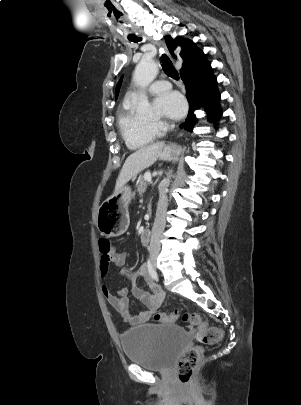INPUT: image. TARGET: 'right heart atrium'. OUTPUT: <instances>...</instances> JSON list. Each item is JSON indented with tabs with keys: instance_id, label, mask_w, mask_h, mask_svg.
<instances>
[{
	"instance_id": "1",
	"label": "right heart atrium",
	"mask_w": 301,
	"mask_h": 405,
	"mask_svg": "<svg viewBox=\"0 0 301 405\" xmlns=\"http://www.w3.org/2000/svg\"><path fill=\"white\" fill-rule=\"evenodd\" d=\"M151 127L153 128V130H154L156 133H160V132H162V131L165 129L166 124H165L163 121H158V122L153 123V124L151 125Z\"/></svg>"
}]
</instances>
